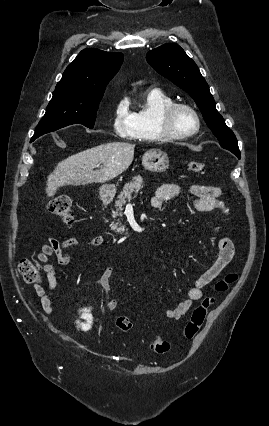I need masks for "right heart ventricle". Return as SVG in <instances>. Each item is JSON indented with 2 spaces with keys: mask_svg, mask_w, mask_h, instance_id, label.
<instances>
[{
  "mask_svg": "<svg viewBox=\"0 0 269 426\" xmlns=\"http://www.w3.org/2000/svg\"><path fill=\"white\" fill-rule=\"evenodd\" d=\"M172 97L160 90H150L145 95L144 106L134 112L135 137L139 141L155 142L167 139L159 129L158 120L161 111L173 103Z\"/></svg>",
  "mask_w": 269,
  "mask_h": 426,
  "instance_id": "e07e8e85",
  "label": "right heart ventricle"
}]
</instances>
